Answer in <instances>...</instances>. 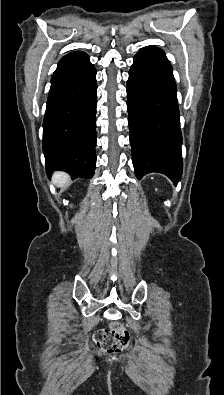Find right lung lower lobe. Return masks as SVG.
Listing matches in <instances>:
<instances>
[{
  "instance_id": "1",
  "label": "right lung lower lobe",
  "mask_w": 224,
  "mask_h": 395,
  "mask_svg": "<svg viewBox=\"0 0 224 395\" xmlns=\"http://www.w3.org/2000/svg\"><path fill=\"white\" fill-rule=\"evenodd\" d=\"M96 69L84 52L58 63L43 121L46 171L64 170L72 178H92L96 167Z\"/></svg>"
}]
</instances>
